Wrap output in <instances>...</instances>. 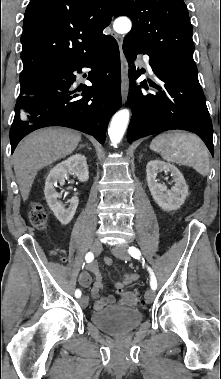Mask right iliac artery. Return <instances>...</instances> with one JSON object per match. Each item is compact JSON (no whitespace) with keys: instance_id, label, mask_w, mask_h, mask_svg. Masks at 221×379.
Listing matches in <instances>:
<instances>
[{"instance_id":"right-iliac-artery-1","label":"right iliac artery","mask_w":221,"mask_h":379,"mask_svg":"<svg viewBox=\"0 0 221 379\" xmlns=\"http://www.w3.org/2000/svg\"><path fill=\"white\" fill-rule=\"evenodd\" d=\"M93 259H94V255H93V253H92V252H88V253L86 254V256H85V260H86V262H87V263H90V262L93 261ZM80 296H81V291H80L79 289H77V290L75 291V297L79 298Z\"/></svg>"}]
</instances>
